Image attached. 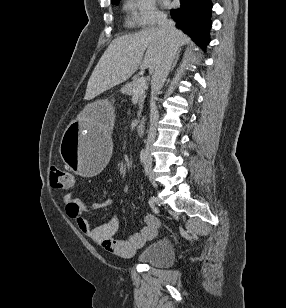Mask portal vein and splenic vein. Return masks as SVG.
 Wrapping results in <instances>:
<instances>
[{"mask_svg":"<svg viewBox=\"0 0 286 308\" xmlns=\"http://www.w3.org/2000/svg\"><path fill=\"white\" fill-rule=\"evenodd\" d=\"M146 88V78L141 77L134 86V96L139 95Z\"/></svg>","mask_w":286,"mask_h":308,"instance_id":"18ae733b","label":"portal vein and splenic vein"}]
</instances>
